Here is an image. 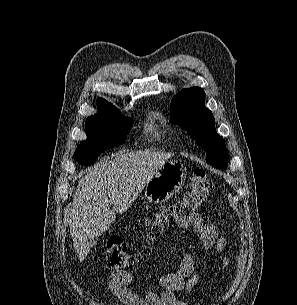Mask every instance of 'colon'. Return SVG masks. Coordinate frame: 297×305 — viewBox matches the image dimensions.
<instances>
[{"instance_id": "1", "label": "colon", "mask_w": 297, "mask_h": 305, "mask_svg": "<svg viewBox=\"0 0 297 305\" xmlns=\"http://www.w3.org/2000/svg\"><path fill=\"white\" fill-rule=\"evenodd\" d=\"M209 195V181L205 172L195 170L185 194L176 202L161 207L153 218L146 222L145 239L151 242L165 229L173 225L180 217L197 212ZM106 261L113 271H121L135 265L140 256L128 251L120 236L111 237L106 246Z\"/></svg>"}]
</instances>
